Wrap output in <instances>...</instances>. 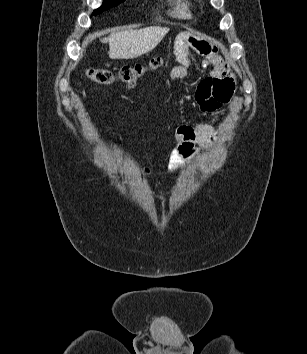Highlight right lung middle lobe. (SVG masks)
Listing matches in <instances>:
<instances>
[{
    "mask_svg": "<svg viewBox=\"0 0 307 354\" xmlns=\"http://www.w3.org/2000/svg\"><path fill=\"white\" fill-rule=\"evenodd\" d=\"M125 0H103V4L100 8L96 9L93 11L92 15H97L101 12H103V10H107L111 7H115L116 5H118L119 3L123 2Z\"/></svg>",
    "mask_w": 307,
    "mask_h": 354,
    "instance_id": "1",
    "label": "right lung middle lobe"
}]
</instances>
